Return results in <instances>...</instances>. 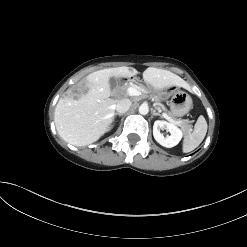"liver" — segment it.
Returning <instances> with one entry per match:
<instances>
[{
	"label": "liver",
	"mask_w": 247,
	"mask_h": 247,
	"mask_svg": "<svg viewBox=\"0 0 247 247\" xmlns=\"http://www.w3.org/2000/svg\"><path fill=\"white\" fill-rule=\"evenodd\" d=\"M139 72L131 67L108 68L86 76L81 84L87 89L79 99L68 90L56 105L54 122L60 137L74 145L86 146L96 142L110 128L116 100L110 97L109 78L132 77ZM144 81L155 90L169 87L189 88L178 75L163 69L149 67L143 72Z\"/></svg>",
	"instance_id": "liver-1"
}]
</instances>
